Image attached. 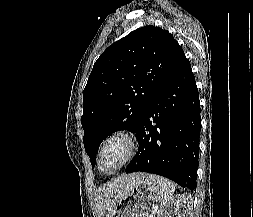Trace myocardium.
<instances>
[{
	"instance_id": "f54148a6",
	"label": "myocardium",
	"mask_w": 253,
	"mask_h": 217,
	"mask_svg": "<svg viewBox=\"0 0 253 217\" xmlns=\"http://www.w3.org/2000/svg\"><path fill=\"white\" fill-rule=\"evenodd\" d=\"M114 142H121L124 145V155L118 165L109 172L101 169V159L105 150ZM138 151V142L135 134L127 129H118L110 133L100 144L96 155V168L103 175H113L127 165Z\"/></svg>"
}]
</instances>
